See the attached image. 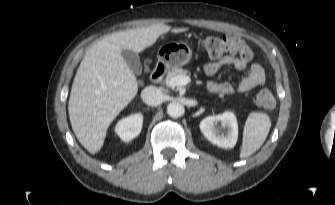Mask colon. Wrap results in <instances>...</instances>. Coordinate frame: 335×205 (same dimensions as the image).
<instances>
[{
	"label": "colon",
	"instance_id": "colon-1",
	"mask_svg": "<svg viewBox=\"0 0 335 205\" xmlns=\"http://www.w3.org/2000/svg\"><path fill=\"white\" fill-rule=\"evenodd\" d=\"M202 47L212 59L238 54L242 59L250 60L253 56L252 48L236 35L207 37L202 41ZM256 102L262 108L271 109L275 106V97L268 88H262L256 95Z\"/></svg>",
	"mask_w": 335,
	"mask_h": 205
}]
</instances>
